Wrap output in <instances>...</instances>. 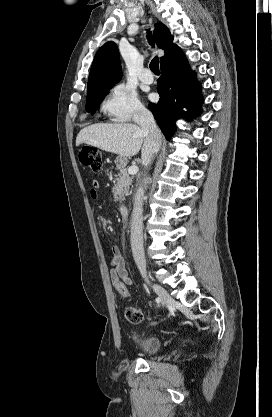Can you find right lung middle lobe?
I'll return each mask as SVG.
<instances>
[{
    "mask_svg": "<svg viewBox=\"0 0 272 417\" xmlns=\"http://www.w3.org/2000/svg\"><path fill=\"white\" fill-rule=\"evenodd\" d=\"M106 89H99L92 93H87V102H86V110L91 114H94L96 109L98 108L101 101L104 99V96L107 94L108 90Z\"/></svg>",
    "mask_w": 272,
    "mask_h": 417,
    "instance_id": "right-lung-middle-lobe-1",
    "label": "right lung middle lobe"
}]
</instances>
